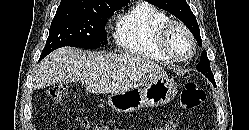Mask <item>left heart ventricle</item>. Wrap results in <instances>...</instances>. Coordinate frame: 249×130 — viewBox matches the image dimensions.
Returning a JSON list of instances; mask_svg holds the SVG:
<instances>
[{
  "label": "left heart ventricle",
  "mask_w": 249,
  "mask_h": 130,
  "mask_svg": "<svg viewBox=\"0 0 249 130\" xmlns=\"http://www.w3.org/2000/svg\"><path fill=\"white\" fill-rule=\"evenodd\" d=\"M170 50L179 58H185L191 51V44L181 30H175L169 41Z\"/></svg>",
  "instance_id": "b2bd125f"
}]
</instances>
